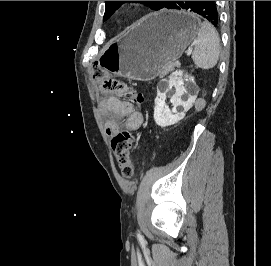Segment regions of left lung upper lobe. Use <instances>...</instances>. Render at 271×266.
I'll list each match as a JSON object with an SVG mask.
<instances>
[{
    "label": "left lung upper lobe",
    "mask_w": 271,
    "mask_h": 266,
    "mask_svg": "<svg viewBox=\"0 0 271 266\" xmlns=\"http://www.w3.org/2000/svg\"><path fill=\"white\" fill-rule=\"evenodd\" d=\"M125 2H139L149 6L153 10H160L162 8H166L171 1H105L106 10L103 20H107L115 12V10Z\"/></svg>",
    "instance_id": "left-lung-upper-lobe-1"
}]
</instances>
